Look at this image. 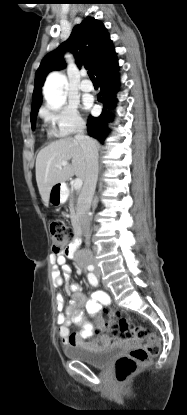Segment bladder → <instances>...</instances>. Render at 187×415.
<instances>
[{
    "label": "bladder",
    "mask_w": 187,
    "mask_h": 415,
    "mask_svg": "<svg viewBox=\"0 0 187 415\" xmlns=\"http://www.w3.org/2000/svg\"><path fill=\"white\" fill-rule=\"evenodd\" d=\"M121 346L117 345L105 351H90L79 346L64 348V354L69 359L79 360L95 368H104L120 353Z\"/></svg>",
    "instance_id": "bladder-1"
}]
</instances>
